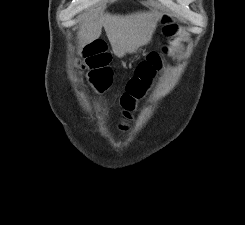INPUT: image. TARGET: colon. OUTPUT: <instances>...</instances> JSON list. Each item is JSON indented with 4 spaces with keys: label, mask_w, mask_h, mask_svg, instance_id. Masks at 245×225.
Wrapping results in <instances>:
<instances>
[{
    "label": "colon",
    "mask_w": 245,
    "mask_h": 225,
    "mask_svg": "<svg viewBox=\"0 0 245 225\" xmlns=\"http://www.w3.org/2000/svg\"><path fill=\"white\" fill-rule=\"evenodd\" d=\"M163 23L165 36L172 38L176 33V25L172 18L164 15ZM83 55L90 59L92 68L90 76L95 88L99 92L107 90L111 86L113 73L108 64L109 55L106 53L105 45L102 42L94 41L88 45ZM157 61V55L152 53L135 67L133 76L127 82L126 89L122 94L125 110L120 122V128L124 131L133 127L136 100L142 97L148 87L156 70Z\"/></svg>",
    "instance_id": "1"
}]
</instances>
